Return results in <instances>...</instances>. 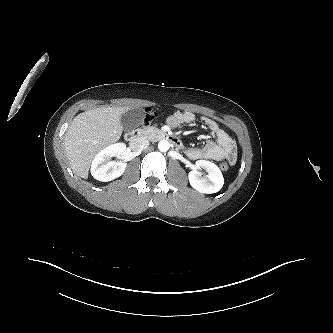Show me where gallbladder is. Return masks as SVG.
Returning a JSON list of instances; mask_svg holds the SVG:
<instances>
[{"label":"gallbladder","mask_w":333,"mask_h":333,"mask_svg":"<svg viewBox=\"0 0 333 333\" xmlns=\"http://www.w3.org/2000/svg\"><path fill=\"white\" fill-rule=\"evenodd\" d=\"M144 112L140 109L129 110L121 117L123 129L127 132L133 131L142 121Z\"/></svg>","instance_id":"gallbladder-1"}]
</instances>
